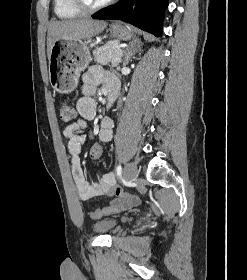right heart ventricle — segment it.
<instances>
[{
	"instance_id": "1",
	"label": "right heart ventricle",
	"mask_w": 247,
	"mask_h": 280,
	"mask_svg": "<svg viewBox=\"0 0 247 280\" xmlns=\"http://www.w3.org/2000/svg\"><path fill=\"white\" fill-rule=\"evenodd\" d=\"M54 12L60 19H73L81 14V12L73 6L71 0H54Z\"/></svg>"
}]
</instances>
